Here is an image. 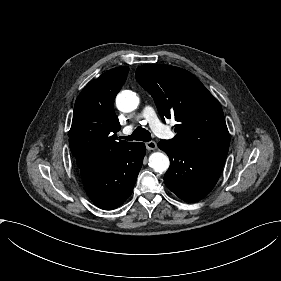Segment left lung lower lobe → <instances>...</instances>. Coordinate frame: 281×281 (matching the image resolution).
I'll return each instance as SVG.
<instances>
[{
	"label": "left lung lower lobe",
	"instance_id": "obj_1",
	"mask_svg": "<svg viewBox=\"0 0 281 281\" xmlns=\"http://www.w3.org/2000/svg\"><path fill=\"white\" fill-rule=\"evenodd\" d=\"M158 147L166 152L171 163L164 175L166 186L186 202H197L213 189L227 157L185 152L165 141L159 142Z\"/></svg>",
	"mask_w": 281,
	"mask_h": 281
}]
</instances>
